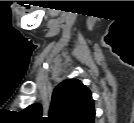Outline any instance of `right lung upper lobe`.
<instances>
[{"label":"right lung upper lobe","instance_id":"right-lung-upper-lobe-1","mask_svg":"<svg viewBox=\"0 0 134 123\" xmlns=\"http://www.w3.org/2000/svg\"><path fill=\"white\" fill-rule=\"evenodd\" d=\"M23 112L31 119L52 123H94L95 118L91 92L78 79H67L56 86L49 117H42V106L38 103Z\"/></svg>","mask_w":134,"mask_h":123}]
</instances>
